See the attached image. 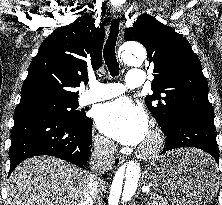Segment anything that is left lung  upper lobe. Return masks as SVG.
Segmentation results:
<instances>
[{"label": "left lung upper lobe", "mask_w": 222, "mask_h": 205, "mask_svg": "<svg viewBox=\"0 0 222 205\" xmlns=\"http://www.w3.org/2000/svg\"><path fill=\"white\" fill-rule=\"evenodd\" d=\"M124 36L147 50L154 72V93L146 97V104L162 131L170 130L187 112L214 115L200 60L182 35L144 13L133 27L125 29Z\"/></svg>", "instance_id": "left-lung-upper-lobe-1"}]
</instances>
